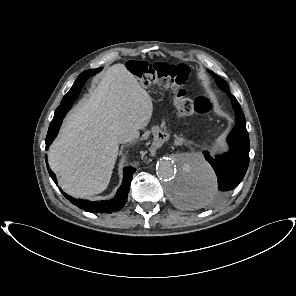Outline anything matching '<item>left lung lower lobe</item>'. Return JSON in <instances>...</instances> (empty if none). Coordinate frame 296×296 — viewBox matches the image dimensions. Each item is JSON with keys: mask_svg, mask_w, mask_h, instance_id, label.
<instances>
[{"mask_svg": "<svg viewBox=\"0 0 296 296\" xmlns=\"http://www.w3.org/2000/svg\"><path fill=\"white\" fill-rule=\"evenodd\" d=\"M230 96L236 113V125L227 138L230 151L215 158L208 152H204L205 159L217 174L218 187L212 193L201 194L194 189L188 177L185 176L180 181V186L184 187L185 192L180 187L177 188V193L182 196L185 206H203L219 200L236 188L245 176L249 165L250 142L242 109L236 98Z\"/></svg>", "mask_w": 296, "mask_h": 296, "instance_id": "left-lung-lower-lobe-1", "label": "left lung lower lobe"}]
</instances>
